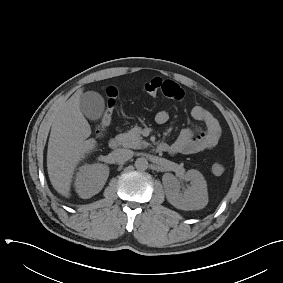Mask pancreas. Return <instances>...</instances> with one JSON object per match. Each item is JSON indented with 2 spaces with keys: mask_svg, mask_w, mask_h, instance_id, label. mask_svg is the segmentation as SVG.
<instances>
[{
  "mask_svg": "<svg viewBox=\"0 0 283 283\" xmlns=\"http://www.w3.org/2000/svg\"><path fill=\"white\" fill-rule=\"evenodd\" d=\"M141 129L138 126L132 128L129 132L120 134L118 139L123 147L141 149L149 146V143L143 140L140 135Z\"/></svg>",
  "mask_w": 283,
  "mask_h": 283,
  "instance_id": "cf45deb5",
  "label": "pancreas"
}]
</instances>
